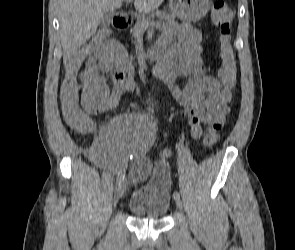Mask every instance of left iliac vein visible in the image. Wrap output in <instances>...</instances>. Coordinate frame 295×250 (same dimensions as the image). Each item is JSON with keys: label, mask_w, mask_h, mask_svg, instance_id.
I'll use <instances>...</instances> for the list:
<instances>
[{"label": "left iliac vein", "mask_w": 295, "mask_h": 250, "mask_svg": "<svg viewBox=\"0 0 295 250\" xmlns=\"http://www.w3.org/2000/svg\"><path fill=\"white\" fill-rule=\"evenodd\" d=\"M174 199H175V202H176L177 207L179 209H181L182 208V202H181V200L179 198H174Z\"/></svg>", "instance_id": "obj_1"}]
</instances>
